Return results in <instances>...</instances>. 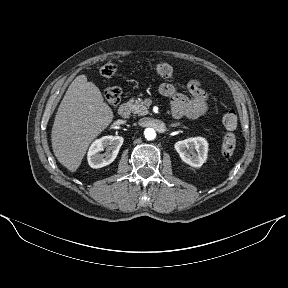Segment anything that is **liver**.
<instances>
[{
    "instance_id": "obj_1",
    "label": "liver",
    "mask_w": 288,
    "mask_h": 288,
    "mask_svg": "<svg viewBox=\"0 0 288 288\" xmlns=\"http://www.w3.org/2000/svg\"><path fill=\"white\" fill-rule=\"evenodd\" d=\"M113 118L99 88L88 82L86 75L77 76L59 105L52 127V149L57 160L75 172L90 143Z\"/></svg>"
}]
</instances>
